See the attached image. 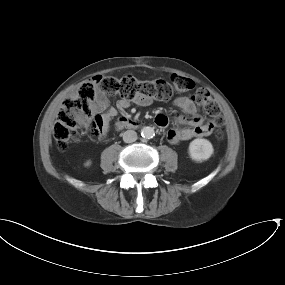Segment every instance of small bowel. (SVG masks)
<instances>
[{
	"label": "small bowel",
	"instance_id": "small-bowel-1",
	"mask_svg": "<svg viewBox=\"0 0 285 285\" xmlns=\"http://www.w3.org/2000/svg\"><path fill=\"white\" fill-rule=\"evenodd\" d=\"M75 93L76 90H72L69 97L74 95ZM152 101L153 99L149 96H139L132 100L119 98L116 101L115 106H112L107 96L103 92L97 91L94 103L92 105V110L97 114H99L100 118L105 123H108L114 117H116L120 112L127 109L131 103H135L140 106H148L152 103ZM173 104L187 115H195L198 110L192 99L188 97L177 98L176 100H174ZM175 119L181 124H183L184 127L181 129H170L167 131L166 138L172 144H177L181 141H187L195 137L208 135V134H202V130L207 129V126L204 125L202 120L197 116L188 118L176 114Z\"/></svg>",
	"mask_w": 285,
	"mask_h": 285
}]
</instances>
